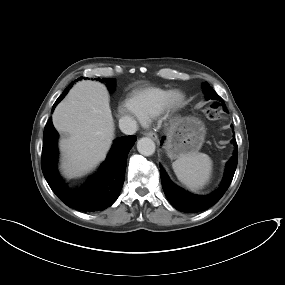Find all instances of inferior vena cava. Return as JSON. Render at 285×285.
<instances>
[{"label": "inferior vena cava", "mask_w": 285, "mask_h": 285, "mask_svg": "<svg viewBox=\"0 0 285 285\" xmlns=\"http://www.w3.org/2000/svg\"><path fill=\"white\" fill-rule=\"evenodd\" d=\"M119 128L126 135H132L138 130L137 122L129 116L120 118Z\"/></svg>", "instance_id": "obj_1"}]
</instances>
